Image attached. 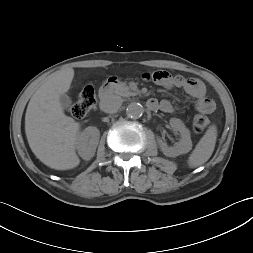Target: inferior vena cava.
<instances>
[{"label":"inferior vena cava","mask_w":253,"mask_h":253,"mask_svg":"<svg viewBox=\"0 0 253 253\" xmlns=\"http://www.w3.org/2000/svg\"><path fill=\"white\" fill-rule=\"evenodd\" d=\"M122 105V100L118 97L111 96L100 102V109L105 113H116Z\"/></svg>","instance_id":"602c4592"}]
</instances>
